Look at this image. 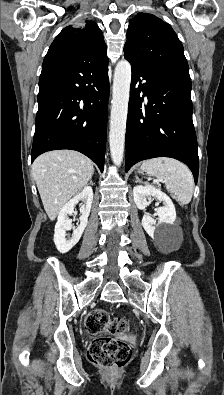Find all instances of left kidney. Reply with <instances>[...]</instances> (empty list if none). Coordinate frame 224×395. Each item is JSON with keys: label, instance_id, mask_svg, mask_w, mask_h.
Returning a JSON list of instances; mask_svg holds the SVG:
<instances>
[{"label": "left kidney", "instance_id": "left-kidney-1", "mask_svg": "<svg viewBox=\"0 0 224 395\" xmlns=\"http://www.w3.org/2000/svg\"><path fill=\"white\" fill-rule=\"evenodd\" d=\"M134 201L138 209L145 210L149 205L148 198L154 197L164 206L157 209L158 222L151 216L144 214L142 226L151 238H163L167 235L169 226L173 225L176 220V211L170 197L160 189L152 185H137L133 188Z\"/></svg>", "mask_w": 224, "mask_h": 395}]
</instances>
